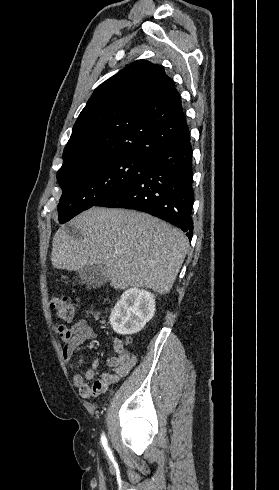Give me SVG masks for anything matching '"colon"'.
Listing matches in <instances>:
<instances>
[{"label": "colon", "instance_id": "1", "mask_svg": "<svg viewBox=\"0 0 279 490\" xmlns=\"http://www.w3.org/2000/svg\"><path fill=\"white\" fill-rule=\"evenodd\" d=\"M50 302L54 308L55 315L57 319L64 321L66 323L72 324L75 321V308L68 301L67 296L65 295H53L51 296ZM119 341H127L128 340H119Z\"/></svg>", "mask_w": 279, "mask_h": 490}]
</instances>
